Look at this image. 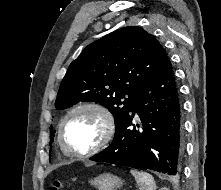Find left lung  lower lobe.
Wrapping results in <instances>:
<instances>
[{"instance_id":"left-lung-lower-lobe-1","label":"left lung lower lobe","mask_w":221,"mask_h":190,"mask_svg":"<svg viewBox=\"0 0 221 190\" xmlns=\"http://www.w3.org/2000/svg\"><path fill=\"white\" fill-rule=\"evenodd\" d=\"M181 114L178 88L167 57L115 125L111 145L90 160L178 176L184 153ZM135 115L140 119L137 124H133Z\"/></svg>"}]
</instances>
